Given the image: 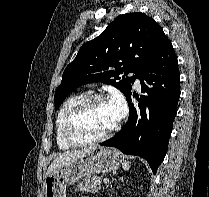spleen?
I'll return each instance as SVG.
<instances>
[{
  "label": "spleen",
  "mask_w": 209,
  "mask_h": 197,
  "mask_svg": "<svg viewBox=\"0 0 209 197\" xmlns=\"http://www.w3.org/2000/svg\"><path fill=\"white\" fill-rule=\"evenodd\" d=\"M122 165H123V169H124V170H126V171L129 170V168H130L129 162H127V161L125 160V161H123Z\"/></svg>",
  "instance_id": "1"
}]
</instances>
